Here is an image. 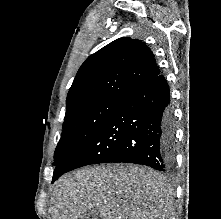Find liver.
Segmentation results:
<instances>
[{"label":"liver","mask_w":221,"mask_h":219,"mask_svg":"<svg viewBox=\"0 0 221 219\" xmlns=\"http://www.w3.org/2000/svg\"><path fill=\"white\" fill-rule=\"evenodd\" d=\"M93 209L101 219H169L173 192L158 172L133 165L86 167L57 181L52 219H79Z\"/></svg>","instance_id":"liver-1"}]
</instances>
